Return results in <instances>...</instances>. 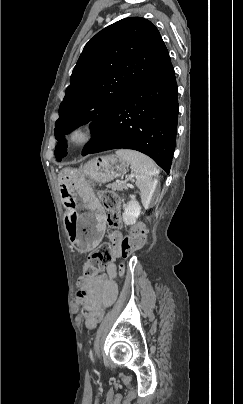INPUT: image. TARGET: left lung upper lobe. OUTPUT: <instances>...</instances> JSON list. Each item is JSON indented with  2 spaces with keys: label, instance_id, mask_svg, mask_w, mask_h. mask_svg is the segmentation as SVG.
I'll return each instance as SVG.
<instances>
[{
  "label": "left lung upper lobe",
  "instance_id": "5c2ea615",
  "mask_svg": "<svg viewBox=\"0 0 243 404\" xmlns=\"http://www.w3.org/2000/svg\"><path fill=\"white\" fill-rule=\"evenodd\" d=\"M168 57L158 29L147 19H122L97 33L85 45L59 107L56 159L67 155L64 134L89 122L94 134L121 100Z\"/></svg>",
  "mask_w": 243,
  "mask_h": 404
}]
</instances>
